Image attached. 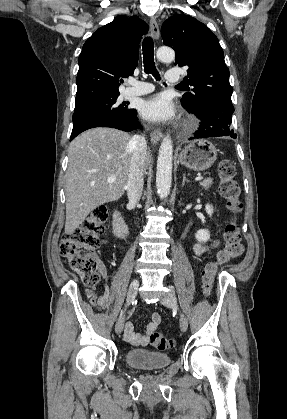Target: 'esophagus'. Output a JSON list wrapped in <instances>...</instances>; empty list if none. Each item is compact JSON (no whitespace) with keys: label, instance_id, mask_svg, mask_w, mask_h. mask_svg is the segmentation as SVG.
Returning <instances> with one entry per match:
<instances>
[{"label":"esophagus","instance_id":"1","mask_svg":"<svg viewBox=\"0 0 287 419\" xmlns=\"http://www.w3.org/2000/svg\"><path fill=\"white\" fill-rule=\"evenodd\" d=\"M149 25H150V30H151V34L153 38L157 40L160 34L157 21L154 18H151ZM150 138L154 144H157L162 138L161 130L157 128L150 131Z\"/></svg>","mask_w":287,"mask_h":419}]
</instances>
